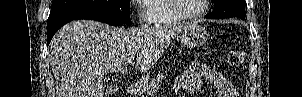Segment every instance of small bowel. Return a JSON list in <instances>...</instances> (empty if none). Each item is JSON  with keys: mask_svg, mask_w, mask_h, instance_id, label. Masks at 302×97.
Masks as SVG:
<instances>
[{"mask_svg": "<svg viewBox=\"0 0 302 97\" xmlns=\"http://www.w3.org/2000/svg\"><path fill=\"white\" fill-rule=\"evenodd\" d=\"M205 82L214 87L215 97H237V92L227 77L200 63L190 65L176 78L174 92L188 90L196 93L202 89Z\"/></svg>", "mask_w": 302, "mask_h": 97, "instance_id": "small-bowel-1", "label": "small bowel"}]
</instances>
